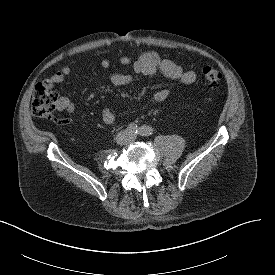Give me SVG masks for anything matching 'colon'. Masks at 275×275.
<instances>
[{
    "mask_svg": "<svg viewBox=\"0 0 275 275\" xmlns=\"http://www.w3.org/2000/svg\"><path fill=\"white\" fill-rule=\"evenodd\" d=\"M205 85L208 88H217L222 81V73L213 66H206L202 70ZM59 99L45 83L34 86L31 100V109L34 116L49 119L58 107Z\"/></svg>",
    "mask_w": 275,
    "mask_h": 275,
    "instance_id": "1",
    "label": "colon"
}]
</instances>
